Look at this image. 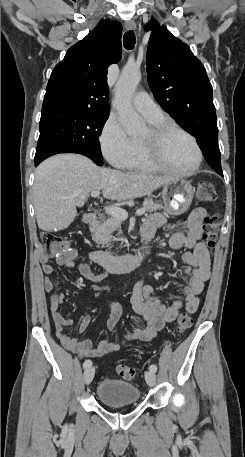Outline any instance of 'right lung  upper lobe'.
Masks as SVG:
<instances>
[{"label": "right lung upper lobe", "instance_id": "obj_1", "mask_svg": "<svg viewBox=\"0 0 245 457\" xmlns=\"http://www.w3.org/2000/svg\"><path fill=\"white\" fill-rule=\"evenodd\" d=\"M121 34L120 22L103 20L73 45L51 73L42 113L65 108L109 112L107 69L121 58Z\"/></svg>", "mask_w": 245, "mask_h": 457}]
</instances>
